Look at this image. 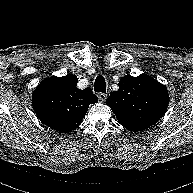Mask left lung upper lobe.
I'll return each instance as SVG.
<instances>
[{"instance_id":"left-lung-upper-lobe-1","label":"left lung upper lobe","mask_w":193,"mask_h":193,"mask_svg":"<svg viewBox=\"0 0 193 193\" xmlns=\"http://www.w3.org/2000/svg\"><path fill=\"white\" fill-rule=\"evenodd\" d=\"M106 103L128 130L142 131L159 121L169 103L167 88L149 75L124 76Z\"/></svg>"}]
</instances>
